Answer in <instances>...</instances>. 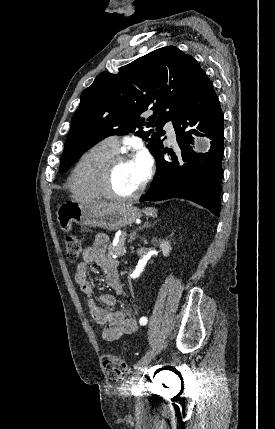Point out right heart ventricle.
<instances>
[{"mask_svg": "<svg viewBox=\"0 0 275 429\" xmlns=\"http://www.w3.org/2000/svg\"><path fill=\"white\" fill-rule=\"evenodd\" d=\"M115 154L103 142L89 148L70 174L68 186L71 192L90 200L103 199L100 187L102 171L105 163Z\"/></svg>", "mask_w": 275, "mask_h": 429, "instance_id": "e07e8e85", "label": "right heart ventricle"}]
</instances>
